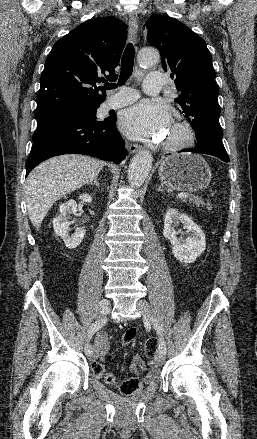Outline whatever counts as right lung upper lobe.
Listing matches in <instances>:
<instances>
[{
	"label": "right lung upper lobe",
	"mask_w": 257,
	"mask_h": 439,
	"mask_svg": "<svg viewBox=\"0 0 257 439\" xmlns=\"http://www.w3.org/2000/svg\"><path fill=\"white\" fill-rule=\"evenodd\" d=\"M126 41V25L115 18L85 21L59 39L45 61L35 117L99 107L105 92L96 84L114 78Z\"/></svg>",
	"instance_id": "cb5924a9"
}]
</instances>
